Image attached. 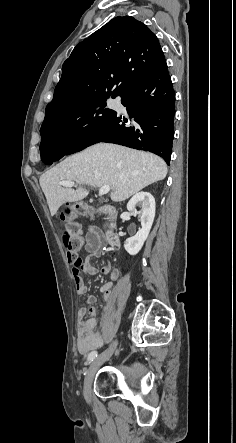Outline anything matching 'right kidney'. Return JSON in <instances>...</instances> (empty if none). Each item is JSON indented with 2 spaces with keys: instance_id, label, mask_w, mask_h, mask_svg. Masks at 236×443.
<instances>
[{
  "instance_id": "obj_1",
  "label": "right kidney",
  "mask_w": 236,
  "mask_h": 443,
  "mask_svg": "<svg viewBox=\"0 0 236 443\" xmlns=\"http://www.w3.org/2000/svg\"><path fill=\"white\" fill-rule=\"evenodd\" d=\"M136 207H140L141 210L137 212ZM127 210L133 216L139 214L142 226L136 235L128 238L124 244L125 250L130 255H136L141 250L152 227L155 217V199L149 192H139L129 200Z\"/></svg>"
}]
</instances>
